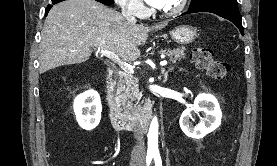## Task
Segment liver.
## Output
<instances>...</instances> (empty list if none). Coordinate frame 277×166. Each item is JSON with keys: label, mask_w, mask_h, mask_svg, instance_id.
I'll return each mask as SVG.
<instances>
[{"label": "liver", "mask_w": 277, "mask_h": 166, "mask_svg": "<svg viewBox=\"0 0 277 166\" xmlns=\"http://www.w3.org/2000/svg\"><path fill=\"white\" fill-rule=\"evenodd\" d=\"M167 22L148 27L128 22L119 12L95 0H66L48 13L39 45V72L87 61L92 49L108 50L134 61L148 33Z\"/></svg>", "instance_id": "obj_1"}]
</instances>
